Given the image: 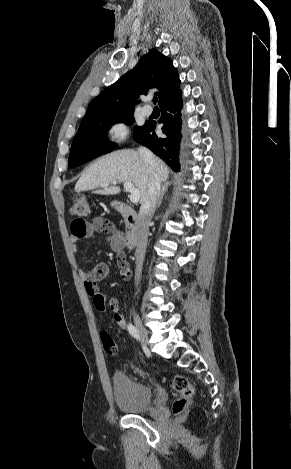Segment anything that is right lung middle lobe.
<instances>
[{
    "mask_svg": "<svg viewBox=\"0 0 291 469\" xmlns=\"http://www.w3.org/2000/svg\"><path fill=\"white\" fill-rule=\"evenodd\" d=\"M132 114L133 112H129L111 117L82 121L72 142L68 162L69 167L79 166L112 151L116 145L106 139L108 130L115 123L133 124L134 117ZM140 128L136 126L134 132Z\"/></svg>",
    "mask_w": 291,
    "mask_h": 469,
    "instance_id": "obj_1",
    "label": "right lung middle lobe"
}]
</instances>
